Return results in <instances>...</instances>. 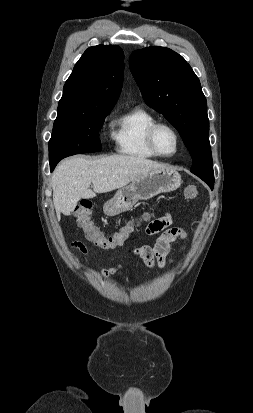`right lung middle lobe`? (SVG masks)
<instances>
[{
	"label": "right lung middle lobe",
	"mask_w": 253,
	"mask_h": 413,
	"mask_svg": "<svg viewBox=\"0 0 253 413\" xmlns=\"http://www.w3.org/2000/svg\"><path fill=\"white\" fill-rule=\"evenodd\" d=\"M110 111L56 118L49 141L50 163L75 154L101 151L99 130Z\"/></svg>",
	"instance_id": "right-lung-middle-lobe-1"
}]
</instances>
